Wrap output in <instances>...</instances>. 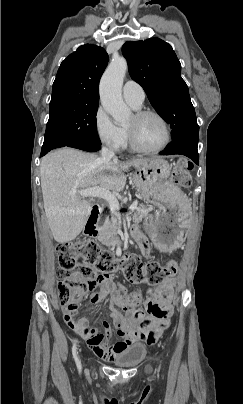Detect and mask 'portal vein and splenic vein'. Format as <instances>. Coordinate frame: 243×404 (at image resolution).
Instances as JSON below:
<instances>
[{"mask_svg": "<svg viewBox=\"0 0 243 404\" xmlns=\"http://www.w3.org/2000/svg\"><path fill=\"white\" fill-rule=\"evenodd\" d=\"M78 194L82 196V198H89V196H92V198H103V200H107L109 206H110V212H112V215L115 218H120L121 214L117 213L118 210H120L119 202L115 196V194H112V192H109V190H105V188H99V186H93V188H86V190H77ZM137 200L131 204L129 210L126 212L127 216H130L134 210L137 208Z\"/></svg>", "mask_w": 243, "mask_h": 404, "instance_id": "1", "label": "portal vein and splenic vein"}]
</instances>
